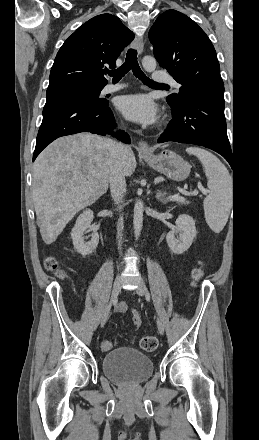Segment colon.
I'll return each instance as SVG.
<instances>
[{"instance_id": "colon-1", "label": "colon", "mask_w": 259, "mask_h": 440, "mask_svg": "<svg viewBox=\"0 0 259 440\" xmlns=\"http://www.w3.org/2000/svg\"><path fill=\"white\" fill-rule=\"evenodd\" d=\"M45 267L47 270L55 273L58 277L62 278L65 275V272L62 268L59 267L57 260L54 257H47L45 259ZM203 275L202 266H199L193 270L192 278L193 284H196ZM140 347L147 351L152 352L158 347V340L153 336H145L140 339Z\"/></svg>"}]
</instances>
